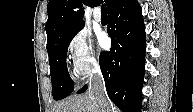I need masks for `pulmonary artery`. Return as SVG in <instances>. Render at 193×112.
I'll return each mask as SVG.
<instances>
[{"mask_svg":"<svg viewBox=\"0 0 193 112\" xmlns=\"http://www.w3.org/2000/svg\"><path fill=\"white\" fill-rule=\"evenodd\" d=\"M94 19L96 22H101L102 21V15L101 12L99 10H96L94 12Z\"/></svg>","mask_w":193,"mask_h":112,"instance_id":"obj_1","label":"pulmonary artery"}]
</instances>
